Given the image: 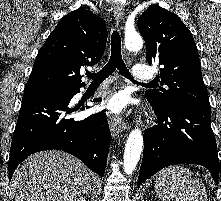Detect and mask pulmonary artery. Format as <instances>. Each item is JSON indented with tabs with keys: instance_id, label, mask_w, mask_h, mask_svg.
Instances as JSON below:
<instances>
[{
	"instance_id": "obj_1",
	"label": "pulmonary artery",
	"mask_w": 221,
	"mask_h": 201,
	"mask_svg": "<svg viewBox=\"0 0 221 201\" xmlns=\"http://www.w3.org/2000/svg\"><path fill=\"white\" fill-rule=\"evenodd\" d=\"M132 76L136 81L151 80L153 78V71L148 66L136 64L133 67Z\"/></svg>"
}]
</instances>
